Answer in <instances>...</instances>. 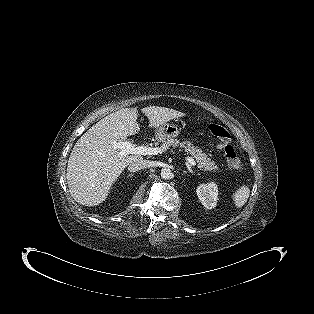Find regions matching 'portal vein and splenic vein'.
<instances>
[{
	"label": "portal vein and splenic vein",
	"instance_id": "obj_1",
	"mask_svg": "<svg viewBox=\"0 0 314 314\" xmlns=\"http://www.w3.org/2000/svg\"><path fill=\"white\" fill-rule=\"evenodd\" d=\"M114 148L119 149V155L126 156L128 154L135 155H157L162 154L164 152L163 148H154L147 146H136L135 144L127 141L122 142H114ZM187 166H196V162L193 158L187 156L186 157Z\"/></svg>",
	"mask_w": 314,
	"mask_h": 314
}]
</instances>
